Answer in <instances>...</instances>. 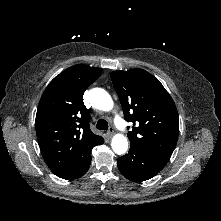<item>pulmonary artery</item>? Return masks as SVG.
<instances>
[{
	"instance_id": "pulmonary-artery-1",
	"label": "pulmonary artery",
	"mask_w": 221,
	"mask_h": 221,
	"mask_svg": "<svg viewBox=\"0 0 221 221\" xmlns=\"http://www.w3.org/2000/svg\"><path fill=\"white\" fill-rule=\"evenodd\" d=\"M115 124L120 130L125 131L126 124L118 115L115 116Z\"/></svg>"
}]
</instances>
